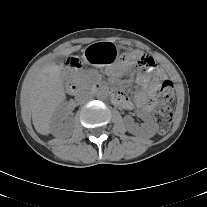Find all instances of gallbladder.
Here are the masks:
<instances>
[{"mask_svg":"<svg viewBox=\"0 0 207 207\" xmlns=\"http://www.w3.org/2000/svg\"><path fill=\"white\" fill-rule=\"evenodd\" d=\"M64 59H65V56L60 55V56H57L55 60L57 63H62Z\"/></svg>","mask_w":207,"mask_h":207,"instance_id":"bac80fb5","label":"gallbladder"}]
</instances>
